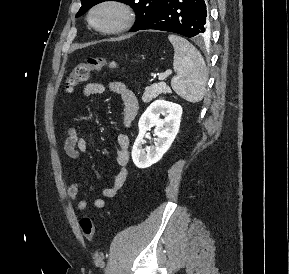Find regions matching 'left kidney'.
Here are the masks:
<instances>
[{
  "label": "left kidney",
  "instance_id": "left-kidney-1",
  "mask_svg": "<svg viewBox=\"0 0 289 274\" xmlns=\"http://www.w3.org/2000/svg\"><path fill=\"white\" fill-rule=\"evenodd\" d=\"M181 116L182 107L165 100H156L146 109L139 120V134L132 149V160L138 168L150 167L167 152L179 131ZM152 126H156L154 135L158 138L154 146L145 151L144 137Z\"/></svg>",
  "mask_w": 289,
  "mask_h": 274
}]
</instances>
